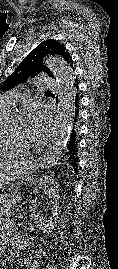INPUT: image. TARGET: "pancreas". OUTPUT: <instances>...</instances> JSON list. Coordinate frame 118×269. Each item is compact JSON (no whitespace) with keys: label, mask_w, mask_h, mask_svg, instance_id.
<instances>
[{"label":"pancreas","mask_w":118,"mask_h":269,"mask_svg":"<svg viewBox=\"0 0 118 269\" xmlns=\"http://www.w3.org/2000/svg\"><path fill=\"white\" fill-rule=\"evenodd\" d=\"M33 181L32 177H24L23 179H18L17 182H11L10 186L7 188L8 192H20L24 189L23 184H30Z\"/></svg>","instance_id":"obj_1"}]
</instances>
